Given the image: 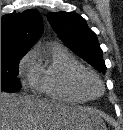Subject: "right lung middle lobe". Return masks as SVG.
Here are the masks:
<instances>
[{
	"label": "right lung middle lobe",
	"instance_id": "right-lung-middle-lobe-1",
	"mask_svg": "<svg viewBox=\"0 0 123 130\" xmlns=\"http://www.w3.org/2000/svg\"><path fill=\"white\" fill-rule=\"evenodd\" d=\"M26 53L1 56V91L17 92L21 88L18 75V64Z\"/></svg>",
	"mask_w": 123,
	"mask_h": 130
}]
</instances>
